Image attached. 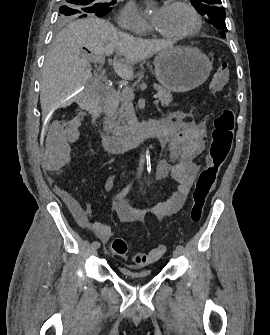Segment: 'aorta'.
I'll return each instance as SVG.
<instances>
[{
  "mask_svg": "<svg viewBox=\"0 0 270 335\" xmlns=\"http://www.w3.org/2000/svg\"><path fill=\"white\" fill-rule=\"evenodd\" d=\"M145 156H146V152H145V154H141V156H140V160H139V164H138V168H137V175H142V171H144Z\"/></svg>",
  "mask_w": 270,
  "mask_h": 335,
  "instance_id": "762f6f07",
  "label": "aorta"
}]
</instances>
